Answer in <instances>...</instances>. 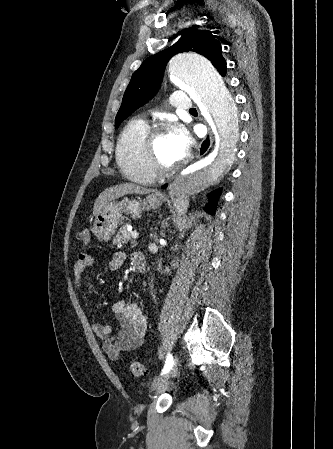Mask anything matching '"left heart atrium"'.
I'll list each match as a JSON object with an SVG mask.
<instances>
[{
	"label": "left heart atrium",
	"mask_w": 333,
	"mask_h": 449,
	"mask_svg": "<svg viewBox=\"0 0 333 449\" xmlns=\"http://www.w3.org/2000/svg\"><path fill=\"white\" fill-rule=\"evenodd\" d=\"M172 148L177 156V159L180 161L190 151L191 148V137L188 132L181 126L173 127L168 133Z\"/></svg>",
	"instance_id": "39dd6f15"
}]
</instances>
